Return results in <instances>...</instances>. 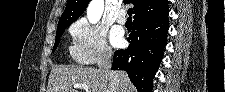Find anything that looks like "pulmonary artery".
<instances>
[{
	"mask_svg": "<svg viewBox=\"0 0 225 92\" xmlns=\"http://www.w3.org/2000/svg\"><path fill=\"white\" fill-rule=\"evenodd\" d=\"M126 12L124 10L120 11L117 15V22L121 25H124L126 23Z\"/></svg>",
	"mask_w": 225,
	"mask_h": 92,
	"instance_id": "obj_1",
	"label": "pulmonary artery"
}]
</instances>
